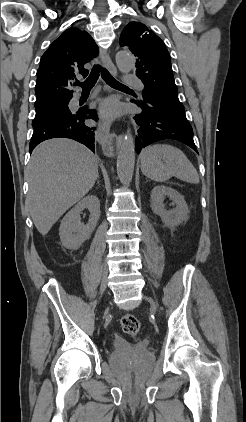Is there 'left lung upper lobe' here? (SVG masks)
I'll list each match as a JSON object with an SVG mask.
<instances>
[{"label": "left lung upper lobe", "mask_w": 246, "mask_h": 422, "mask_svg": "<svg viewBox=\"0 0 246 422\" xmlns=\"http://www.w3.org/2000/svg\"><path fill=\"white\" fill-rule=\"evenodd\" d=\"M120 46L136 57V75L145 86L140 102L154 98L170 107L184 109L178 99L170 55L154 32L140 22H131L121 33Z\"/></svg>", "instance_id": "obj_1"}]
</instances>
